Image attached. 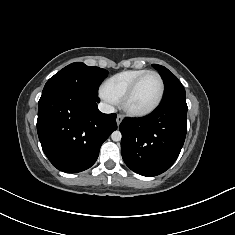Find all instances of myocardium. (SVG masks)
<instances>
[{
	"instance_id": "obj_1",
	"label": "myocardium",
	"mask_w": 235,
	"mask_h": 235,
	"mask_svg": "<svg viewBox=\"0 0 235 235\" xmlns=\"http://www.w3.org/2000/svg\"><path fill=\"white\" fill-rule=\"evenodd\" d=\"M149 74H153V75L157 76V78L159 79L160 92H159L158 98L150 107H148L146 109H133L128 105V101L131 98V96L134 94V92H135L138 84L141 82V80ZM164 93H165V84H164V80H163L162 76L157 71L148 70V71L144 72L143 74H141L140 76H138L131 83V85L128 87V89L126 90V92L124 93V95L121 99V107L127 114H129L131 116H136V117L145 116V115L152 113L154 110H156L158 108V106L162 102V99L164 97Z\"/></svg>"
}]
</instances>
